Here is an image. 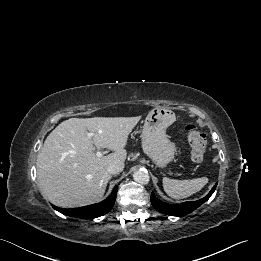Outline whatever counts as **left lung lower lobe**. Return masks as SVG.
<instances>
[{
    "label": "left lung lower lobe",
    "instance_id": "1",
    "mask_svg": "<svg viewBox=\"0 0 261 261\" xmlns=\"http://www.w3.org/2000/svg\"><path fill=\"white\" fill-rule=\"evenodd\" d=\"M216 186H217V184L213 186L211 191L204 198L197 200V201L183 202L181 204L171 205V204L158 200L155 197V195L152 193L151 194V203H152L153 207L162 214L171 215V216H184V215H187L190 212L194 211L201 204L206 202L210 198V196L213 194V192L215 191Z\"/></svg>",
    "mask_w": 261,
    "mask_h": 261
}]
</instances>
